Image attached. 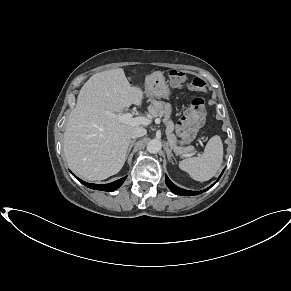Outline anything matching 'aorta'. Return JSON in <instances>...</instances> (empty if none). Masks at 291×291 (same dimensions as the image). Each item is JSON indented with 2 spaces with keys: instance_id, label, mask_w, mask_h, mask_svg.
<instances>
[{
  "instance_id": "1",
  "label": "aorta",
  "mask_w": 291,
  "mask_h": 291,
  "mask_svg": "<svg viewBox=\"0 0 291 291\" xmlns=\"http://www.w3.org/2000/svg\"><path fill=\"white\" fill-rule=\"evenodd\" d=\"M162 144L158 139H152L147 144V151L150 153H157L161 150Z\"/></svg>"
}]
</instances>
